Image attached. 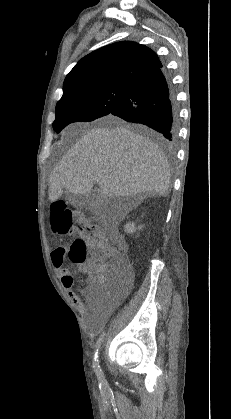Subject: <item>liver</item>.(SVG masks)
Listing matches in <instances>:
<instances>
[{"instance_id":"obj_1","label":"liver","mask_w":231,"mask_h":419,"mask_svg":"<svg viewBox=\"0 0 231 419\" xmlns=\"http://www.w3.org/2000/svg\"><path fill=\"white\" fill-rule=\"evenodd\" d=\"M94 127L87 131L56 165L49 179V200L63 189L89 195L95 183L102 197H124L141 193L164 195L170 170L157 144L121 125Z\"/></svg>"}]
</instances>
